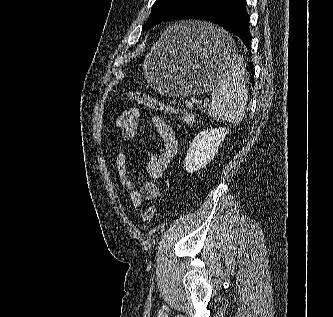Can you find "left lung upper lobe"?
I'll list each match as a JSON object with an SVG mask.
<instances>
[{
  "label": "left lung upper lobe",
  "instance_id": "5c2ea615",
  "mask_svg": "<svg viewBox=\"0 0 333 317\" xmlns=\"http://www.w3.org/2000/svg\"><path fill=\"white\" fill-rule=\"evenodd\" d=\"M213 0H156L152 6L151 14L142 27L147 30L162 21L185 19L192 11L204 7Z\"/></svg>",
  "mask_w": 333,
  "mask_h": 317
}]
</instances>
